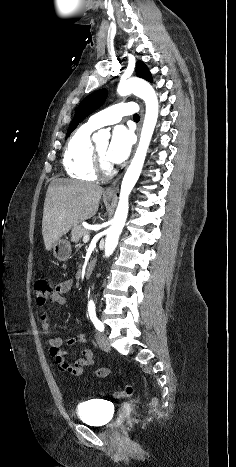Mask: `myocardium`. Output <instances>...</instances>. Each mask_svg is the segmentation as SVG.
Segmentation results:
<instances>
[{"label":"myocardium","instance_id":"f54148a6","mask_svg":"<svg viewBox=\"0 0 236 467\" xmlns=\"http://www.w3.org/2000/svg\"><path fill=\"white\" fill-rule=\"evenodd\" d=\"M93 152H94V171L96 172V174L103 178L111 177L115 172L114 167L111 165L110 162H108L99 153L96 146H94Z\"/></svg>","mask_w":236,"mask_h":467}]
</instances>
